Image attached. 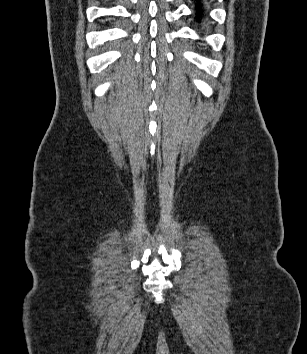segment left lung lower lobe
<instances>
[{"instance_id":"obj_1","label":"left lung lower lobe","mask_w":307,"mask_h":354,"mask_svg":"<svg viewBox=\"0 0 307 354\" xmlns=\"http://www.w3.org/2000/svg\"><path fill=\"white\" fill-rule=\"evenodd\" d=\"M194 10H195V20L201 22V20L204 18V12H205L204 2L202 0H196Z\"/></svg>"}]
</instances>
